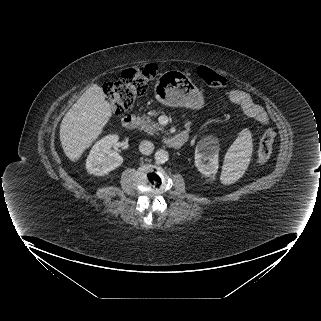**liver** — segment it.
<instances>
[{"label": "liver", "instance_id": "6515ba94", "mask_svg": "<svg viewBox=\"0 0 321 321\" xmlns=\"http://www.w3.org/2000/svg\"><path fill=\"white\" fill-rule=\"evenodd\" d=\"M112 116V105L102 88L93 84L73 104L60 125V141L65 155L79 160L86 148L101 134Z\"/></svg>", "mask_w": 321, "mask_h": 321}]
</instances>
